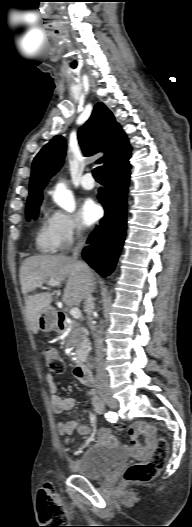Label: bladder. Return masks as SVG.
Masks as SVG:
<instances>
[{
	"label": "bladder",
	"instance_id": "bladder-1",
	"mask_svg": "<svg viewBox=\"0 0 192 527\" xmlns=\"http://www.w3.org/2000/svg\"><path fill=\"white\" fill-rule=\"evenodd\" d=\"M126 458V452L120 447L95 444L74 462V470L87 479L96 480L109 474Z\"/></svg>",
	"mask_w": 192,
	"mask_h": 527
}]
</instances>
